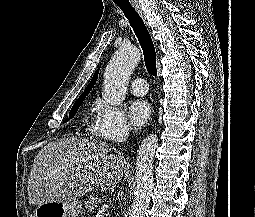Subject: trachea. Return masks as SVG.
<instances>
[{"label": "trachea", "instance_id": "1", "mask_svg": "<svg viewBox=\"0 0 255 217\" xmlns=\"http://www.w3.org/2000/svg\"><path fill=\"white\" fill-rule=\"evenodd\" d=\"M128 19L137 36L144 54L145 66L149 74L156 77V53L152 38L138 12L130 3L117 4Z\"/></svg>", "mask_w": 255, "mask_h": 217}]
</instances>
